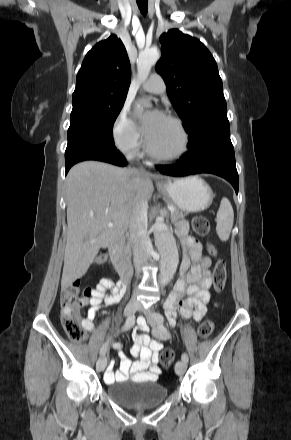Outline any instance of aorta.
<instances>
[{
    "label": "aorta",
    "mask_w": 291,
    "mask_h": 440,
    "mask_svg": "<svg viewBox=\"0 0 291 440\" xmlns=\"http://www.w3.org/2000/svg\"><path fill=\"white\" fill-rule=\"evenodd\" d=\"M159 58L160 52L157 48H150L139 53L137 59V77L139 81L144 82L147 79L152 66L156 64ZM145 106H151L150 102L147 101ZM138 111L141 112L142 108H138ZM154 240L161 256L160 281L162 284H167L173 277L178 264L176 241L164 223L154 225Z\"/></svg>",
    "instance_id": "aorta-1"
}]
</instances>
